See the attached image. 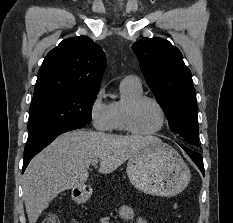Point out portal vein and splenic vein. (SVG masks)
I'll return each mask as SVG.
<instances>
[{
    "mask_svg": "<svg viewBox=\"0 0 233 223\" xmlns=\"http://www.w3.org/2000/svg\"><path fill=\"white\" fill-rule=\"evenodd\" d=\"M97 163H98V159H93V161H91V165H94V167L95 165H97Z\"/></svg>",
    "mask_w": 233,
    "mask_h": 223,
    "instance_id": "obj_1",
    "label": "portal vein and splenic vein"
}]
</instances>
